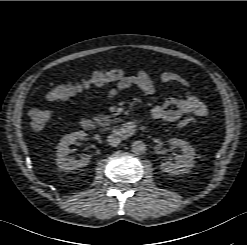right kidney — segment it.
<instances>
[{"label":"right kidney","mask_w":247,"mask_h":245,"mask_svg":"<svg viewBox=\"0 0 247 245\" xmlns=\"http://www.w3.org/2000/svg\"><path fill=\"white\" fill-rule=\"evenodd\" d=\"M86 136L87 134L84 131H78L68 134L60 140V143L57 146L56 163L61 170H76L89 164V156H83L79 160L71 159L68 156L70 153L69 146L77 139L84 140Z\"/></svg>","instance_id":"ca27d5eb"}]
</instances>
